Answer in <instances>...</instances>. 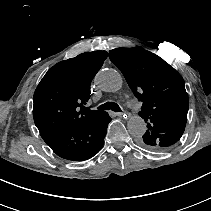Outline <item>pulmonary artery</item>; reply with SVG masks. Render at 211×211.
Here are the masks:
<instances>
[{
	"instance_id": "1",
	"label": "pulmonary artery",
	"mask_w": 211,
	"mask_h": 211,
	"mask_svg": "<svg viewBox=\"0 0 211 211\" xmlns=\"http://www.w3.org/2000/svg\"><path fill=\"white\" fill-rule=\"evenodd\" d=\"M132 105H134V106H135V105H136V103H135V102H132Z\"/></svg>"
}]
</instances>
